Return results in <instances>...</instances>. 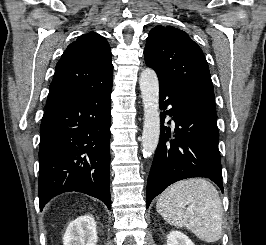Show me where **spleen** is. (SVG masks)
Returning <instances> with one entry per match:
<instances>
[{
    "label": "spleen",
    "instance_id": "3e777b00",
    "mask_svg": "<svg viewBox=\"0 0 266 245\" xmlns=\"http://www.w3.org/2000/svg\"><path fill=\"white\" fill-rule=\"evenodd\" d=\"M156 211L169 225L186 227L205 243L221 239L222 203L217 189L206 179L174 183L160 195Z\"/></svg>",
    "mask_w": 266,
    "mask_h": 245
}]
</instances>
